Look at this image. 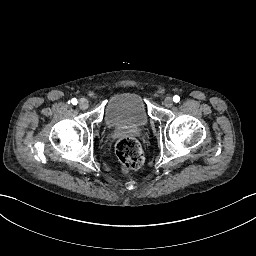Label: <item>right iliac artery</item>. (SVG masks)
I'll list each match as a JSON object with an SVG mask.
<instances>
[{
    "mask_svg": "<svg viewBox=\"0 0 256 256\" xmlns=\"http://www.w3.org/2000/svg\"><path fill=\"white\" fill-rule=\"evenodd\" d=\"M71 103H72L73 105H77L78 101H77L76 98H73V99L71 100Z\"/></svg>",
    "mask_w": 256,
    "mask_h": 256,
    "instance_id": "82829eb1",
    "label": "right iliac artery"
}]
</instances>
